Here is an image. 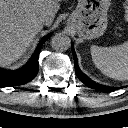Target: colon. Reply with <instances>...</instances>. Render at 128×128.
<instances>
[{
	"mask_svg": "<svg viewBox=\"0 0 128 128\" xmlns=\"http://www.w3.org/2000/svg\"><path fill=\"white\" fill-rule=\"evenodd\" d=\"M124 20L128 22V0H124Z\"/></svg>",
	"mask_w": 128,
	"mask_h": 128,
	"instance_id": "5ec220e1",
	"label": "colon"
}]
</instances>
